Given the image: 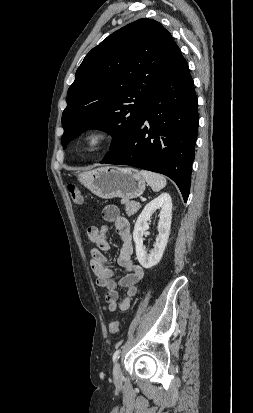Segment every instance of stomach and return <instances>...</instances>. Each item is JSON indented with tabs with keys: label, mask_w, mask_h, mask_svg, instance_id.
Segmentation results:
<instances>
[{
	"label": "stomach",
	"mask_w": 253,
	"mask_h": 413,
	"mask_svg": "<svg viewBox=\"0 0 253 413\" xmlns=\"http://www.w3.org/2000/svg\"><path fill=\"white\" fill-rule=\"evenodd\" d=\"M78 180L103 199H133L143 194L145 180L131 167L106 166L78 174Z\"/></svg>",
	"instance_id": "1"
}]
</instances>
